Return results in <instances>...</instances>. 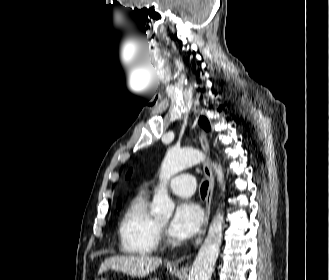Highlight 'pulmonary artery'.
<instances>
[{"label": "pulmonary artery", "instance_id": "pulmonary-artery-1", "mask_svg": "<svg viewBox=\"0 0 329 280\" xmlns=\"http://www.w3.org/2000/svg\"><path fill=\"white\" fill-rule=\"evenodd\" d=\"M168 186L175 195L190 197L194 193L196 182L192 175L184 173L174 177Z\"/></svg>", "mask_w": 329, "mask_h": 280}]
</instances>
